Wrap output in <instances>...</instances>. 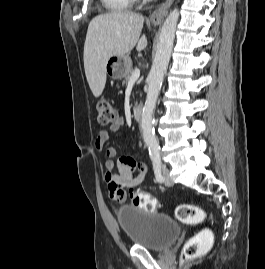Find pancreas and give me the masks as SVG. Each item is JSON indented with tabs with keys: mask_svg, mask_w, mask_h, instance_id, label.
Listing matches in <instances>:
<instances>
[{
	"mask_svg": "<svg viewBox=\"0 0 265 269\" xmlns=\"http://www.w3.org/2000/svg\"><path fill=\"white\" fill-rule=\"evenodd\" d=\"M133 72H134V70H131V71L129 72V74H127V75L125 76L124 83H127V82L130 80V77H131V75H132Z\"/></svg>",
	"mask_w": 265,
	"mask_h": 269,
	"instance_id": "cf45deb5",
	"label": "pancreas"
}]
</instances>
